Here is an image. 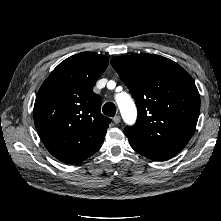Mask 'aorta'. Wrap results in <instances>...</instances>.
Instances as JSON below:
<instances>
[{
	"label": "aorta",
	"instance_id": "1",
	"mask_svg": "<svg viewBox=\"0 0 221 221\" xmlns=\"http://www.w3.org/2000/svg\"><path fill=\"white\" fill-rule=\"evenodd\" d=\"M116 101L124 121L129 124L134 123L137 116V110L129 95L121 94L116 98Z\"/></svg>",
	"mask_w": 221,
	"mask_h": 221
}]
</instances>
